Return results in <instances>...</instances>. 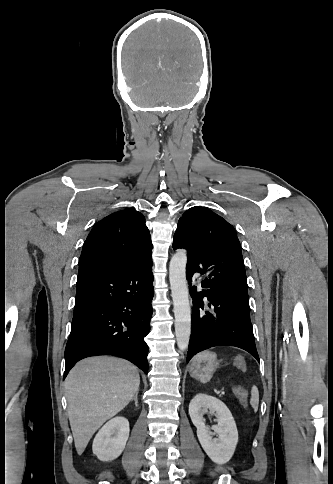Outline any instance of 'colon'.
I'll return each instance as SVG.
<instances>
[{
    "mask_svg": "<svg viewBox=\"0 0 333 484\" xmlns=\"http://www.w3.org/2000/svg\"><path fill=\"white\" fill-rule=\"evenodd\" d=\"M235 365L241 370H245V368H246L245 360H244L243 357H237L235 359ZM233 392L236 395V397L240 400V402L243 405H246L247 390L242 386L236 385V386L233 387Z\"/></svg>",
    "mask_w": 333,
    "mask_h": 484,
    "instance_id": "1",
    "label": "colon"
}]
</instances>
